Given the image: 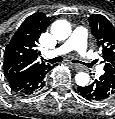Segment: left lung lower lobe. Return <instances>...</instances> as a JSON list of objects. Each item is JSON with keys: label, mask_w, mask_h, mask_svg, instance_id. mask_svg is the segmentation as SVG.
I'll return each instance as SVG.
<instances>
[{"label": "left lung lower lobe", "mask_w": 115, "mask_h": 119, "mask_svg": "<svg viewBox=\"0 0 115 119\" xmlns=\"http://www.w3.org/2000/svg\"><path fill=\"white\" fill-rule=\"evenodd\" d=\"M78 91L88 100H105L115 94V78L105 73L92 84L78 87Z\"/></svg>", "instance_id": "0a47b994"}]
</instances>
